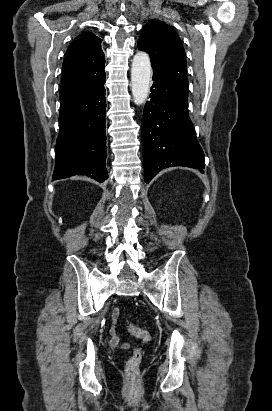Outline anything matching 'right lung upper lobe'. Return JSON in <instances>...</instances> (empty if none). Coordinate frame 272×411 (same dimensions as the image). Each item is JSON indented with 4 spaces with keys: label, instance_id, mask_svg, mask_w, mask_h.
I'll return each mask as SVG.
<instances>
[{
    "label": "right lung upper lobe",
    "instance_id": "1",
    "mask_svg": "<svg viewBox=\"0 0 272 411\" xmlns=\"http://www.w3.org/2000/svg\"><path fill=\"white\" fill-rule=\"evenodd\" d=\"M101 39L86 31L69 46L62 64L60 100L89 90L105 79Z\"/></svg>",
    "mask_w": 272,
    "mask_h": 411
}]
</instances>
